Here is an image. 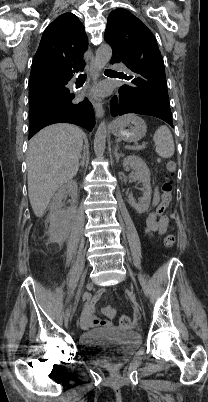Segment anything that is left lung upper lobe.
I'll return each instance as SVG.
<instances>
[{
    "label": "left lung upper lobe",
    "mask_w": 208,
    "mask_h": 402,
    "mask_svg": "<svg viewBox=\"0 0 208 402\" xmlns=\"http://www.w3.org/2000/svg\"><path fill=\"white\" fill-rule=\"evenodd\" d=\"M104 39L113 50L112 57L131 70L129 84L123 85L140 99L170 105L164 61L156 39L141 20L125 9L112 11Z\"/></svg>",
    "instance_id": "1"
}]
</instances>
